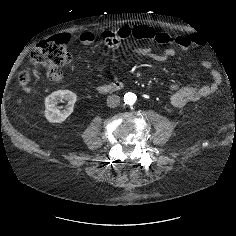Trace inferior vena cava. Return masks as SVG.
<instances>
[{
	"label": "inferior vena cava",
	"mask_w": 236,
	"mask_h": 236,
	"mask_svg": "<svg viewBox=\"0 0 236 236\" xmlns=\"http://www.w3.org/2000/svg\"><path fill=\"white\" fill-rule=\"evenodd\" d=\"M120 105V97L118 95H110L107 98V106L110 108H115Z\"/></svg>",
	"instance_id": "602c4592"
}]
</instances>
